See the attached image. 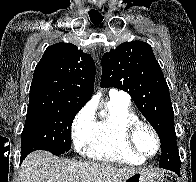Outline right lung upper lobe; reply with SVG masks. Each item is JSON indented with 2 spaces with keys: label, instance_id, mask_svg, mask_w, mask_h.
I'll use <instances>...</instances> for the list:
<instances>
[{
  "label": "right lung upper lobe",
  "instance_id": "cb5924a9",
  "mask_svg": "<svg viewBox=\"0 0 196 182\" xmlns=\"http://www.w3.org/2000/svg\"><path fill=\"white\" fill-rule=\"evenodd\" d=\"M94 81L95 64L90 54L71 43L49 46L35 68L28 109H81L91 98Z\"/></svg>",
  "mask_w": 196,
  "mask_h": 182
}]
</instances>
